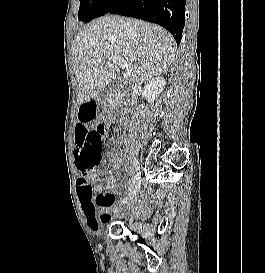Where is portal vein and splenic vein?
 Wrapping results in <instances>:
<instances>
[{"instance_id":"18ae733b","label":"portal vein and splenic vein","mask_w":265,"mask_h":273,"mask_svg":"<svg viewBox=\"0 0 265 273\" xmlns=\"http://www.w3.org/2000/svg\"><path fill=\"white\" fill-rule=\"evenodd\" d=\"M113 63L117 65L119 69H126L128 67V63L123 58L119 57H111Z\"/></svg>"}]
</instances>
